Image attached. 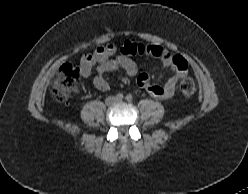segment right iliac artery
<instances>
[{
  "label": "right iliac artery",
  "instance_id": "right-iliac-artery-1",
  "mask_svg": "<svg viewBox=\"0 0 248 194\" xmlns=\"http://www.w3.org/2000/svg\"><path fill=\"white\" fill-rule=\"evenodd\" d=\"M115 98H116V100H122L124 98V96L122 93H118V94H116Z\"/></svg>",
  "mask_w": 248,
  "mask_h": 194
}]
</instances>
